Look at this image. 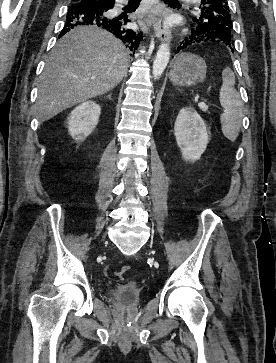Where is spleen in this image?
<instances>
[{
  "label": "spleen",
  "instance_id": "obj_1",
  "mask_svg": "<svg viewBox=\"0 0 276 363\" xmlns=\"http://www.w3.org/2000/svg\"><path fill=\"white\" fill-rule=\"evenodd\" d=\"M222 81L219 93L224 111L220 115L221 130L227 139L235 141L243 119V102L235 89V75L229 67L223 69Z\"/></svg>",
  "mask_w": 276,
  "mask_h": 363
}]
</instances>
